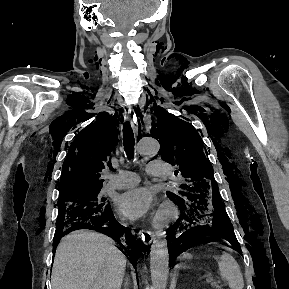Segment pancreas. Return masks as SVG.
Instances as JSON below:
<instances>
[{
	"mask_svg": "<svg viewBox=\"0 0 289 289\" xmlns=\"http://www.w3.org/2000/svg\"><path fill=\"white\" fill-rule=\"evenodd\" d=\"M212 286L214 289H221V287L216 283H213Z\"/></svg>",
	"mask_w": 289,
	"mask_h": 289,
	"instance_id": "pancreas-1",
	"label": "pancreas"
}]
</instances>
